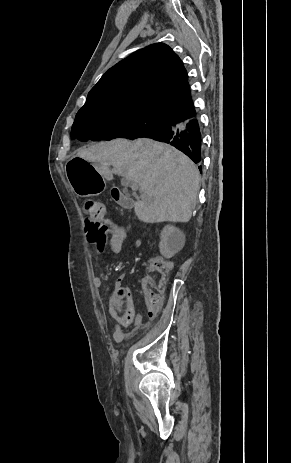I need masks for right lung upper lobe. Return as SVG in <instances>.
<instances>
[{"mask_svg":"<svg viewBox=\"0 0 291 463\" xmlns=\"http://www.w3.org/2000/svg\"><path fill=\"white\" fill-rule=\"evenodd\" d=\"M141 109L164 118L196 117L187 72L164 43L140 49L111 67L81 108Z\"/></svg>","mask_w":291,"mask_h":463,"instance_id":"obj_1","label":"right lung upper lobe"}]
</instances>
